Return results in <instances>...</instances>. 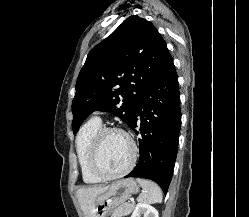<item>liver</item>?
I'll return each instance as SVG.
<instances>
[{
    "mask_svg": "<svg viewBox=\"0 0 249 217\" xmlns=\"http://www.w3.org/2000/svg\"><path fill=\"white\" fill-rule=\"evenodd\" d=\"M109 186H93L81 188L76 192L77 199L85 217H96L95 200L97 196L106 192Z\"/></svg>",
    "mask_w": 249,
    "mask_h": 217,
    "instance_id": "6515ba94",
    "label": "liver"
}]
</instances>
